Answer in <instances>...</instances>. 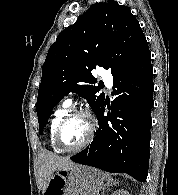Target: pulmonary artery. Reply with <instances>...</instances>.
<instances>
[{
  "label": "pulmonary artery",
  "instance_id": "obj_1",
  "mask_svg": "<svg viewBox=\"0 0 178 195\" xmlns=\"http://www.w3.org/2000/svg\"><path fill=\"white\" fill-rule=\"evenodd\" d=\"M102 79L103 82L107 85V86H111L113 83L112 77L110 75V73L108 71H104L103 75H102ZM74 92L71 91L68 93L67 97L65 98L64 102L71 104L74 98Z\"/></svg>",
  "mask_w": 178,
  "mask_h": 195
}]
</instances>
